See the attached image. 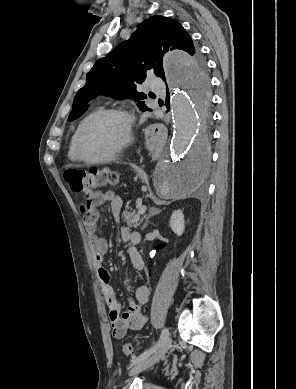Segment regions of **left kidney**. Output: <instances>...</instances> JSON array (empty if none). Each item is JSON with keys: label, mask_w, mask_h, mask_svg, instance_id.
Returning <instances> with one entry per match:
<instances>
[{"label": "left kidney", "mask_w": 296, "mask_h": 389, "mask_svg": "<svg viewBox=\"0 0 296 389\" xmlns=\"http://www.w3.org/2000/svg\"><path fill=\"white\" fill-rule=\"evenodd\" d=\"M170 227L172 231L181 236L185 230L184 215L181 210L174 211L170 218Z\"/></svg>", "instance_id": "left-kidney-1"}]
</instances>
